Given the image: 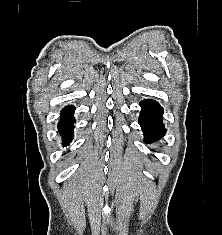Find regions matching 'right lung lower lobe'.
<instances>
[{
  "label": "right lung lower lobe",
  "mask_w": 222,
  "mask_h": 235,
  "mask_svg": "<svg viewBox=\"0 0 222 235\" xmlns=\"http://www.w3.org/2000/svg\"><path fill=\"white\" fill-rule=\"evenodd\" d=\"M75 107L70 105L61 111V121L59 124L60 134L63 136L64 145H68L73 137L74 122L76 121L73 113Z\"/></svg>",
  "instance_id": "98d812e1"
}]
</instances>
